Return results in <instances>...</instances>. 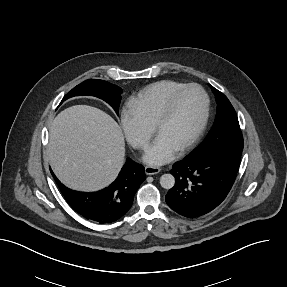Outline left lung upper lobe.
Masks as SVG:
<instances>
[{
  "label": "left lung upper lobe",
  "instance_id": "obj_1",
  "mask_svg": "<svg viewBox=\"0 0 287 287\" xmlns=\"http://www.w3.org/2000/svg\"><path fill=\"white\" fill-rule=\"evenodd\" d=\"M211 88L217 101L215 123L205 140L190 154L198 151L217 153L223 148L243 150V136L233 106L223 93Z\"/></svg>",
  "mask_w": 287,
  "mask_h": 287
}]
</instances>
